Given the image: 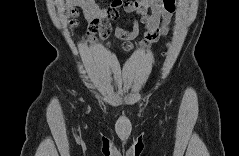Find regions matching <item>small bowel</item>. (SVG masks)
<instances>
[{
	"label": "small bowel",
	"mask_w": 239,
	"mask_h": 156,
	"mask_svg": "<svg viewBox=\"0 0 239 156\" xmlns=\"http://www.w3.org/2000/svg\"><path fill=\"white\" fill-rule=\"evenodd\" d=\"M73 4L84 9L86 19L97 28L93 34L88 33L87 38L92 41L98 33L103 41H107L111 32L117 39L123 42L122 48L125 51L133 49L132 41L144 29V45L149 46L158 41L169 32V24L176 9V0H113L106 9L101 8L92 0H73ZM128 14H135L137 19L133 21L130 30L117 25L114 29L110 21L118 20L120 10ZM112 14V16H107Z\"/></svg>",
	"instance_id": "1"
}]
</instances>
